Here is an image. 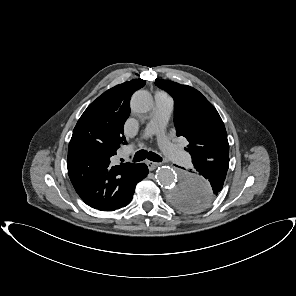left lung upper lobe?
<instances>
[{
  "mask_svg": "<svg viewBox=\"0 0 296 296\" xmlns=\"http://www.w3.org/2000/svg\"><path fill=\"white\" fill-rule=\"evenodd\" d=\"M155 84L175 100L174 124L177 136H184L189 141L185 149L190 153L192 162L229 159L226 129L215 107L190 86L169 80H156ZM195 203V198L183 200L179 196L175 205L195 211L192 209Z\"/></svg>",
  "mask_w": 296,
  "mask_h": 296,
  "instance_id": "left-lung-upper-lobe-1",
  "label": "left lung upper lobe"
}]
</instances>
